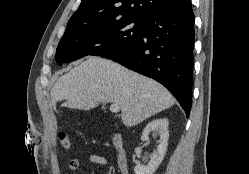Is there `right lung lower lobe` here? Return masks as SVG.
<instances>
[{"label":"right lung lower lobe","mask_w":249,"mask_h":174,"mask_svg":"<svg viewBox=\"0 0 249 174\" xmlns=\"http://www.w3.org/2000/svg\"><path fill=\"white\" fill-rule=\"evenodd\" d=\"M193 46L194 13L190 4L148 17L143 33L135 43L101 57L164 85L188 117L192 102Z\"/></svg>","instance_id":"98d812e1"}]
</instances>
